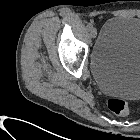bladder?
<instances>
[{
	"label": "bladder",
	"instance_id": "obj_1",
	"mask_svg": "<svg viewBox=\"0 0 140 140\" xmlns=\"http://www.w3.org/2000/svg\"><path fill=\"white\" fill-rule=\"evenodd\" d=\"M99 87L121 98H140V17L116 16L102 27L90 54Z\"/></svg>",
	"mask_w": 140,
	"mask_h": 140
}]
</instances>
